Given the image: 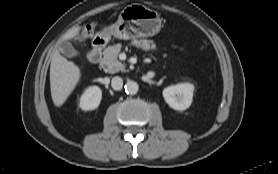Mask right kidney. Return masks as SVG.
Returning a JSON list of instances; mask_svg holds the SVG:
<instances>
[{"label": "right kidney", "instance_id": "obj_1", "mask_svg": "<svg viewBox=\"0 0 278 174\" xmlns=\"http://www.w3.org/2000/svg\"><path fill=\"white\" fill-rule=\"evenodd\" d=\"M102 91L97 86L89 87L80 98V108L82 110H94L100 104Z\"/></svg>", "mask_w": 278, "mask_h": 174}]
</instances>
